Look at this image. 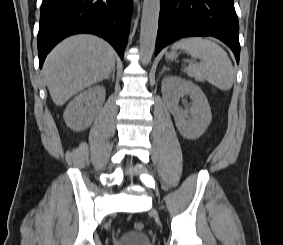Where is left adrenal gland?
<instances>
[{
  "label": "left adrenal gland",
  "instance_id": "a2214340",
  "mask_svg": "<svg viewBox=\"0 0 283 245\" xmlns=\"http://www.w3.org/2000/svg\"><path fill=\"white\" fill-rule=\"evenodd\" d=\"M167 70H169V68H167V67H165V66H163V69H162V71H161V75L164 73V71H167Z\"/></svg>",
  "mask_w": 283,
  "mask_h": 245
}]
</instances>
